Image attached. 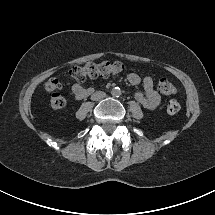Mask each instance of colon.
Here are the masks:
<instances>
[{
    "instance_id": "obj_1",
    "label": "colon",
    "mask_w": 215,
    "mask_h": 215,
    "mask_svg": "<svg viewBox=\"0 0 215 215\" xmlns=\"http://www.w3.org/2000/svg\"><path fill=\"white\" fill-rule=\"evenodd\" d=\"M122 71V64L119 62L89 63L83 66H75L70 70L72 79L78 82L86 80L88 77H111L116 76ZM60 84L57 79H49L45 83V89L49 93V105L54 109L65 106V99L59 92ZM158 91L164 95L175 91L174 85L166 78L158 82ZM167 112L176 114L180 110V103L176 99H170L166 105Z\"/></svg>"
}]
</instances>
